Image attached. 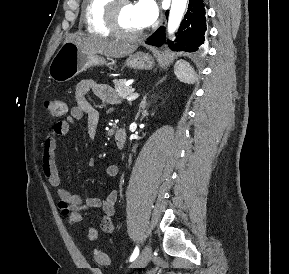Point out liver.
<instances>
[{"label": "liver", "instance_id": "obj_1", "mask_svg": "<svg viewBox=\"0 0 289 274\" xmlns=\"http://www.w3.org/2000/svg\"><path fill=\"white\" fill-rule=\"evenodd\" d=\"M65 42H73L85 51L105 55L108 58H122L130 55L137 49L136 45L118 43L96 37H83L77 34L69 35Z\"/></svg>", "mask_w": 289, "mask_h": 274}]
</instances>
